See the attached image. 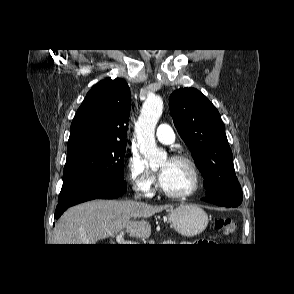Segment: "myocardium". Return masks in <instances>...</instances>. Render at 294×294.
Here are the masks:
<instances>
[{
  "mask_svg": "<svg viewBox=\"0 0 294 294\" xmlns=\"http://www.w3.org/2000/svg\"><path fill=\"white\" fill-rule=\"evenodd\" d=\"M170 161L182 162L189 167L193 175L192 187L187 192H184V193H172L167 191L162 186V183L160 181L158 185L159 192L162 195L166 196L167 198L175 199V200H183L193 196L198 191L201 185V175H200V171L198 169L197 164L191 157L187 155H183V154L174 155L173 157H171Z\"/></svg>",
  "mask_w": 294,
  "mask_h": 294,
  "instance_id": "obj_1",
  "label": "myocardium"
}]
</instances>
